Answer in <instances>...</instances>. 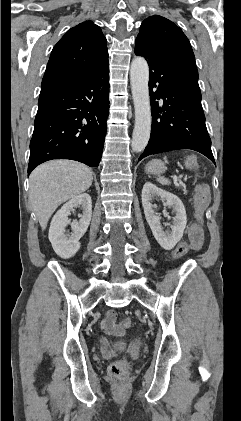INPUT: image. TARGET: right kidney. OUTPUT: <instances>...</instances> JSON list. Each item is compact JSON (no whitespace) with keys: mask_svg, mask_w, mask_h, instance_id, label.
<instances>
[{"mask_svg":"<svg viewBox=\"0 0 241 421\" xmlns=\"http://www.w3.org/2000/svg\"><path fill=\"white\" fill-rule=\"evenodd\" d=\"M81 207L83 214L80 220L71 222L68 216L74 208ZM92 216V201L89 194L75 196L54 215L49 229V240L54 251L62 258L74 256L80 248L79 240L87 231ZM70 224L72 233L66 234V226Z\"/></svg>","mask_w":241,"mask_h":421,"instance_id":"ca27d5eb","label":"right kidney"}]
</instances>
